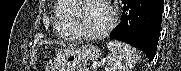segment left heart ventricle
<instances>
[{"mask_svg":"<svg viewBox=\"0 0 181 71\" xmlns=\"http://www.w3.org/2000/svg\"><path fill=\"white\" fill-rule=\"evenodd\" d=\"M81 11L78 27L86 32L95 33L103 30L110 22V12L100 0H79Z\"/></svg>","mask_w":181,"mask_h":71,"instance_id":"1","label":"left heart ventricle"}]
</instances>
